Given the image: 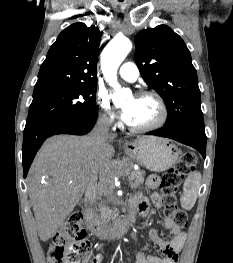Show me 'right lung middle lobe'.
<instances>
[{
  "label": "right lung middle lobe",
  "mask_w": 233,
  "mask_h": 263,
  "mask_svg": "<svg viewBox=\"0 0 233 263\" xmlns=\"http://www.w3.org/2000/svg\"><path fill=\"white\" fill-rule=\"evenodd\" d=\"M95 93L96 85H77L33 95L25 129L95 111Z\"/></svg>",
  "instance_id": "right-lung-middle-lobe-1"
}]
</instances>
